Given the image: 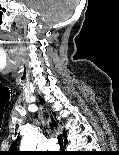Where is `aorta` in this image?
Returning a JSON list of instances; mask_svg holds the SVG:
<instances>
[{"label": "aorta", "instance_id": "762f6f07", "mask_svg": "<svg viewBox=\"0 0 119 155\" xmlns=\"http://www.w3.org/2000/svg\"><path fill=\"white\" fill-rule=\"evenodd\" d=\"M36 143V133L34 129H32L22 138L20 149L22 151H33L36 148Z\"/></svg>", "mask_w": 119, "mask_h": 155}]
</instances>
